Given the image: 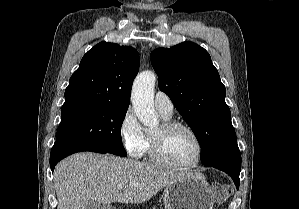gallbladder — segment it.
Segmentation results:
<instances>
[{"label":"gallbladder","mask_w":299,"mask_h":209,"mask_svg":"<svg viewBox=\"0 0 299 209\" xmlns=\"http://www.w3.org/2000/svg\"><path fill=\"white\" fill-rule=\"evenodd\" d=\"M84 209H100V204L94 201H91L86 204Z\"/></svg>","instance_id":"gallbladder-1"}]
</instances>
